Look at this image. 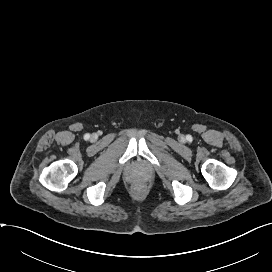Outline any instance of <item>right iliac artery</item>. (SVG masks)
Here are the masks:
<instances>
[{
	"instance_id": "82829eb1",
	"label": "right iliac artery",
	"mask_w": 272,
	"mask_h": 272,
	"mask_svg": "<svg viewBox=\"0 0 272 272\" xmlns=\"http://www.w3.org/2000/svg\"><path fill=\"white\" fill-rule=\"evenodd\" d=\"M85 138L88 139V138H89V134H86V135H85Z\"/></svg>"
}]
</instances>
